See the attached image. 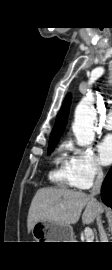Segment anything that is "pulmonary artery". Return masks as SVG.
<instances>
[{"label":"pulmonary artery","mask_w":112,"mask_h":270,"mask_svg":"<svg viewBox=\"0 0 112 270\" xmlns=\"http://www.w3.org/2000/svg\"><path fill=\"white\" fill-rule=\"evenodd\" d=\"M103 126H104V128H106L107 130H112V113H110V114L106 117V119H105V121H104V123H103Z\"/></svg>","instance_id":"e3ab8cb5"}]
</instances>
